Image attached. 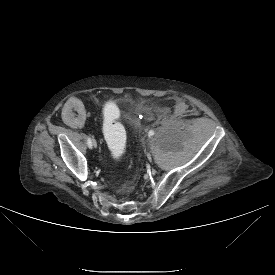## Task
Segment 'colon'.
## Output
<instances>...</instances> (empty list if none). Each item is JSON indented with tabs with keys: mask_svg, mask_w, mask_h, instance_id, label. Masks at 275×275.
<instances>
[{
	"mask_svg": "<svg viewBox=\"0 0 275 275\" xmlns=\"http://www.w3.org/2000/svg\"><path fill=\"white\" fill-rule=\"evenodd\" d=\"M115 110L108 109L104 120V134L108 148L113 155H119L125 148V133L118 123Z\"/></svg>",
	"mask_w": 275,
	"mask_h": 275,
	"instance_id": "1",
	"label": "colon"
}]
</instances>
